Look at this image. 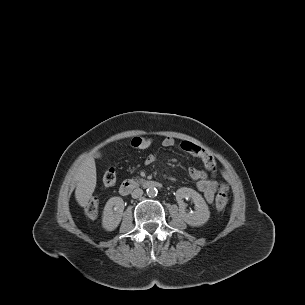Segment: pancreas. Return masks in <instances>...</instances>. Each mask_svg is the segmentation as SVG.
<instances>
[{
	"label": "pancreas",
	"mask_w": 305,
	"mask_h": 305,
	"mask_svg": "<svg viewBox=\"0 0 305 305\" xmlns=\"http://www.w3.org/2000/svg\"><path fill=\"white\" fill-rule=\"evenodd\" d=\"M136 180H137V181H142L143 179H141V178L138 177V178H136Z\"/></svg>",
	"instance_id": "pancreas-1"
}]
</instances>
